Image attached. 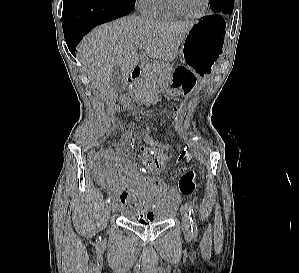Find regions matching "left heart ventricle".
Masks as SVG:
<instances>
[{"label": "left heart ventricle", "instance_id": "1", "mask_svg": "<svg viewBox=\"0 0 299 273\" xmlns=\"http://www.w3.org/2000/svg\"><path fill=\"white\" fill-rule=\"evenodd\" d=\"M180 7L189 14H196L201 11L204 0H178Z\"/></svg>", "mask_w": 299, "mask_h": 273}]
</instances>
